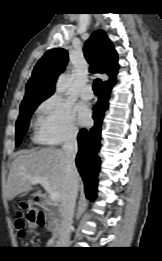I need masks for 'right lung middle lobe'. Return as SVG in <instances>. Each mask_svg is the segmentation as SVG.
Masks as SVG:
<instances>
[{
  "label": "right lung middle lobe",
  "instance_id": "1",
  "mask_svg": "<svg viewBox=\"0 0 162 261\" xmlns=\"http://www.w3.org/2000/svg\"><path fill=\"white\" fill-rule=\"evenodd\" d=\"M48 97L49 96L34 97L22 101L20 114L16 122V147L21 143V139L27 131L32 113L35 111L37 106Z\"/></svg>",
  "mask_w": 162,
  "mask_h": 261
}]
</instances>
